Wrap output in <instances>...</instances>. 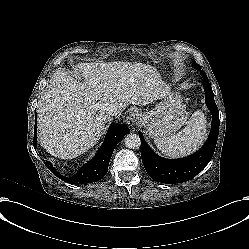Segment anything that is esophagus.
I'll use <instances>...</instances> for the list:
<instances>
[{
	"mask_svg": "<svg viewBox=\"0 0 249 249\" xmlns=\"http://www.w3.org/2000/svg\"><path fill=\"white\" fill-rule=\"evenodd\" d=\"M139 119H140V114L138 113V111L132 110L127 117L128 120L127 122L128 124H130L131 127H133L139 122Z\"/></svg>",
	"mask_w": 249,
	"mask_h": 249,
	"instance_id": "34e87169",
	"label": "esophagus"
}]
</instances>
